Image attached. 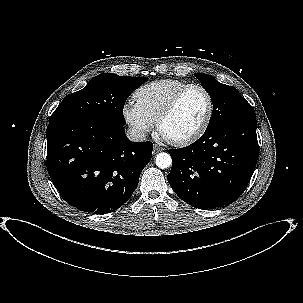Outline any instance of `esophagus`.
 <instances>
[{
	"mask_svg": "<svg viewBox=\"0 0 303 303\" xmlns=\"http://www.w3.org/2000/svg\"><path fill=\"white\" fill-rule=\"evenodd\" d=\"M163 150H165V148L160 147L158 145H154L153 153L156 154V153H158L160 151H163Z\"/></svg>",
	"mask_w": 303,
	"mask_h": 303,
	"instance_id": "1",
	"label": "esophagus"
}]
</instances>
